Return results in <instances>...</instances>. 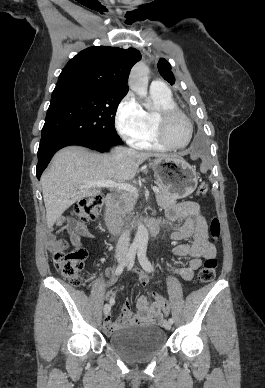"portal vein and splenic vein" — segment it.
<instances>
[{"instance_id": "obj_1", "label": "portal vein and splenic vein", "mask_w": 265, "mask_h": 388, "mask_svg": "<svg viewBox=\"0 0 265 388\" xmlns=\"http://www.w3.org/2000/svg\"><path fill=\"white\" fill-rule=\"evenodd\" d=\"M85 186L81 188H118V190H126L130 194H137V188L131 186V184H123V182H113V180H99V182H89L84 180ZM153 192H160L156 186L152 188Z\"/></svg>"}]
</instances>
